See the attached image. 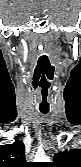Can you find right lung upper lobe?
Returning <instances> with one entry per match:
<instances>
[{"label":"right lung upper lobe","instance_id":"right-lung-upper-lobe-1","mask_svg":"<svg viewBox=\"0 0 81 167\" xmlns=\"http://www.w3.org/2000/svg\"><path fill=\"white\" fill-rule=\"evenodd\" d=\"M25 161L24 144L17 140L13 144L0 146V167H29Z\"/></svg>","mask_w":81,"mask_h":167}]
</instances>
